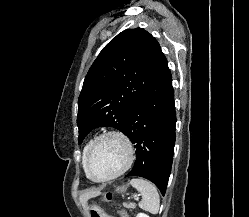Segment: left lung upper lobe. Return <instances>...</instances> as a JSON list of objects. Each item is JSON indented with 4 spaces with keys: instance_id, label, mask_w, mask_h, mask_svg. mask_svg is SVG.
<instances>
[{
    "instance_id": "1",
    "label": "left lung upper lobe",
    "mask_w": 249,
    "mask_h": 217,
    "mask_svg": "<svg viewBox=\"0 0 249 217\" xmlns=\"http://www.w3.org/2000/svg\"><path fill=\"white\" fill-rule=\"evenodd\" d=\"M166 65L159 43L147 31L135 28L119 33L85 77L78 99V142L100 126L124 133L130 111Z\"/></svg>"
}]
</instances>
